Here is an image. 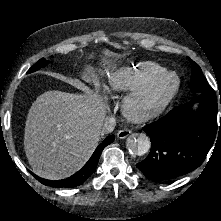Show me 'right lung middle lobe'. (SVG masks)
I'll use <instances>...</instances> for the list:
<instances>
[{
    "label": "right lung middle lobe",
    "instance_id": "obj_1",
    "mask_svg": "<svg viewBox=\"0 0 221 221\" xmlns=\"http://www.w3.org/2000/svg\"><path fill=\"white\" fill-rule=\"evenodd\" d=\"M49 63V61L45 60L44 58L40 59L35 65H33L27 73L34 72L36 70H39L41 67L46 66Z\"/></svg>",
    "mask_w": 221,
    "mask_h": 221
}]
</instances>
